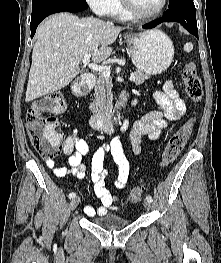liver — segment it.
Returning <instances> with one entry per match:
<instances>
[{
    "instance_id": "6515ba94",
    "label": "liver",
    "mask_w": 221,
    "mask_h": 263,
    "mask_svg": "<svg viewBox=\"0 0 221 263\" xmlns=\"http://www.w3.org/2000/svg\"><path fill=\"white\" fill-rule=\"evenodd\" d=\"M122 29L94 17L79 18L69 13L46 19L37 29L25 101L67 86L78 75L86 54H91L95 63L105 61Z\"/></svg>"
}]
</instances>
